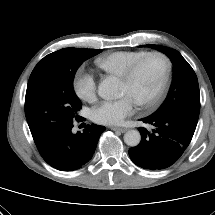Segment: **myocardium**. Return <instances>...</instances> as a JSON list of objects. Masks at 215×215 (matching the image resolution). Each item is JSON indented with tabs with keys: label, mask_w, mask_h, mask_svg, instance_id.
<instances>
[{
	"label": "myocardium",
	"mask_w": 215,
	"mask_h": 215,
	"mask_svg": "<svg viewBox=\"0 0 215 215\" xmlns=\"http://www.w3.org/2000/svg\"><path fill=\"white\" fill-rule=\"evenodd\" d=\"M150 57H158L160 58L163 63H164V73L163 77L161 80V83L156 90V92L146 101L138 102L137 105L142 107V108H152L154 107L161 99L163 96L169 79H170V74H171V61L169 57L160 51H151V52H146L144 55L136 59L126 70L125 72L120 76V80L124 82L130 81L136 72L138 71L139 67L141 64L148 58Z\"/></svg>",
	"instance_id": "1"
}]
</instances>
